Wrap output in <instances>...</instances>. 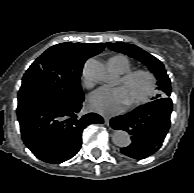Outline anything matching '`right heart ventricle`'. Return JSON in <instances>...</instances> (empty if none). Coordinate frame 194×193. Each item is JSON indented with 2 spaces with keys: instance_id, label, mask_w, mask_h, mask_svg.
<instances>
[{
  "instance_id": "obj_1",
  "label": "right heart ventricle",
  "mask_w": 194,
  "mask_h": 193,
  "mask_svg": "<svg viewBox=\"0 0 194 193\" xmlns=\"http://www.w3.org/2000/svg\"><path fill=\"white\" fill-rule=\"evenodd\" d=\"M111 68L119 74H125L132 68L130 60L124 55H115L110 58Z\"/></svg>"
}]
</instances>
